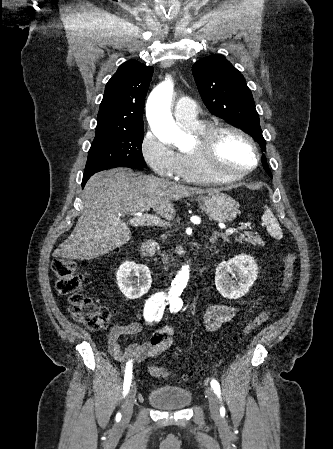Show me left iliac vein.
I'll return each mask as SVG.
<instances>
[{
    "label": "left iliac vein",
    "mask_w": 333,
    "mask_h": 449,
    "mask_svg": "<svg viewBox=\"0 0 333 449\" xmlns=\"http://www.w3.org/2000/svg\"><path fill=\"white\" fill-rule=\"evenodd\" d=\"M211 418L218 422L221 418L217 397L211 388H206Z\"/></svg>",
    "instance_id": "1"
}]
</instances>
